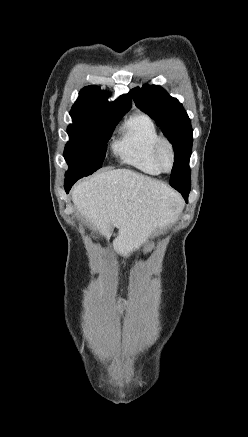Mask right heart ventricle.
Returning a JSON list of instances; mask_svg holds the SVG:
<instances>
[{"label":"right heart ventricle","mask_w":248,"mask_h":437,"mask_svg":"<svg viewBox=\"0 0 248 437\" xmlns=\"http://www.w3.org/2000/svg\"><path fill=\"white\" fill-rule=\"evenodd\" d=\"M161 138L154 120L147 114L130 116L120 127L113 150L121 161L148 175L161 170L154 158V147Z\"/></svg>","instance_id":"right-heart-ventricle-1"}]
</instances>
